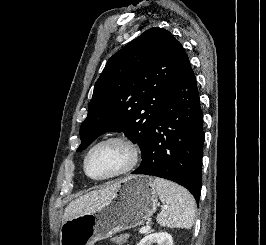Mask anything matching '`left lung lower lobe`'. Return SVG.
Returning a JSON list of instances; mask_svg holds the SVG:
<instances>
[{
    "instance_id": "0a47b994",
    "label": "left lung lower lobe",
    "mask_w": 266,
    "mask_h": 245,
    "mask_svg": "<svg viewBox=\"0 0 266 245\" xmlns=\"http://www.w3.org/2000/svg\"><path fill=\"white\" fill-rule=\"evenodd\" d=\"M203 145V113L196 77L188 61L153 120L143 160L132 174L176 182L199 202Z\"/></svg>"
}]
</instances>
